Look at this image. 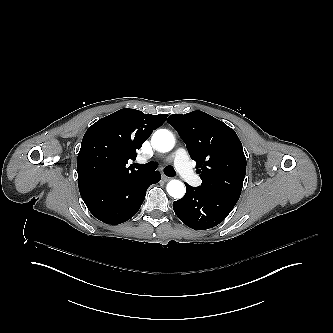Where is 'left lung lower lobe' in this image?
I'll return each instance as SVG.
<instances>
[{"label": "left lung lower lobe", "mask_w": 333, "mask_h": 333, "mask_svg": "<svg viewBox=\"0 0 333 333\" xmlns=\"http://www.w3.org/2000/svg\"><path fill=\"white\" fill-rule=\"evenodd\" d=\"M185 185L186 194L173 203V209L184 224L195 230L209 229L221 223L239 199L235 194Z\"/></svg>", "instance_id": "left-lung-lower-lobe-1"}]
</instances>
